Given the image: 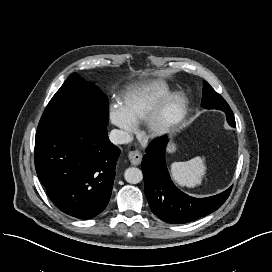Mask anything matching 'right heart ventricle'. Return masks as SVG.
<instances>
[{"mask_svg":"<svg viewBox=\"0 0 272 272\" xmlns=\"http://www.w3.org/2000/svg\"><path fill=\"white\" fill-rule=\"evenodd\" d=\"M171 93L170 87L159 80L141 82L125 95L120 107L133 125L148 118L152 110Z\"/></svg>","mask_w":272,"mask_h":272,"instance_id":"obj_1","label":"right heart ventricle"}]
</instances>
